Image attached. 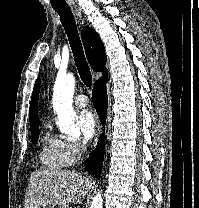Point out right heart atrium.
<instances>
[{
	"label": "right heart atrium",
	"mask_w": 199,
	"mask_h": 208,
	"mask_svg": "<svg viewBox=\"0 0 199 208\" xmlns=\"http://www.w3.org/2000/svg\"><path fill=\"white\" fill-rule=\"evenodd\" d=\"M63 149L67 159V165H73L83 151L82 146L74 141H65L63 143Z\"/></svg>",
	"instance_id": "obj_1"
}]
</instances>
